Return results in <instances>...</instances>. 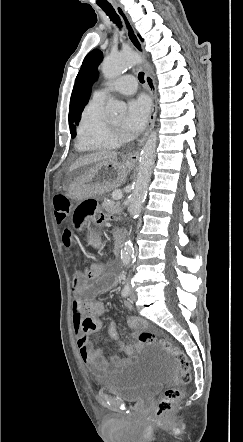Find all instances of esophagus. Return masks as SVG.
Listing matches in <instances>:
<instances>
[{"label":"esophagus","instance_id":"1","mask_svg":"<svg viewBox=\"0 0 243 442\" xmlns=\"http://www.w3.org/2000/svg\"><path fill=\"white\" fill-rule=\"evenodd\" d=\"M116 12L124 24V27H125L126 33H127V37L129 39L130 43L132 44L134 49L142 56V58H144L145 53H144L143 44L141 43L140 39L138 38V36H137L129 18L125 14L123 8L120 6H117ZM144 74H145L146 85H147V88H148V91H149V94L151 97L152 106H151V112H150V116H149L147 131H146L145 135L143 136V138L140 140L137 150L128 155V160L130 162L138 161L141 148H142L150 130L153 127L156 113H157V102H156L154 81L147 70L144 71Z\"/></svg>","mask_w":243,"mask_h":442}]
</instances>
